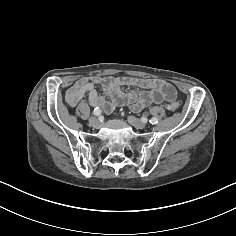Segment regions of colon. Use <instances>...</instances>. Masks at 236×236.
<instances>
[{
	"label": "colon",
	"instance_id": "1",
	"mask_svg": "<svg viewBox=\"0 0 236 236\" xmlns=\"http://www.w3.org/2000/svg\"><path fill=\"white\" fill-rule=\"evenodd\" d=\"M179 102L175 101V102H172L170 105H168V109L170 111H176L178 108H179Z\"/></svg>",
	"mask_w": 236,
	"mask_h": 236
}]
</instances>
